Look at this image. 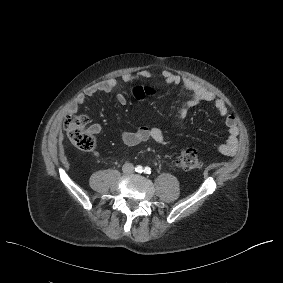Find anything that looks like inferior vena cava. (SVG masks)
I'll list each match as a JSON object with an SVG mask.
<instances>
[{
    "label": "inferior vena cava",
    "mask_w": 283,
    "mask_h": 283,
    "mask_svg": "<svg viewBox=\"0 0 283 283\" xmlns=\"http://www.w3.org/2000/svg\"><path fill=\"white\" fill-rule=\"evenodd\" d=\"M124 173H132L134 170V166L131 163H125L122 167Z\"/></svg>",
    "instance_id": "obj_1"
}]
</instances>
